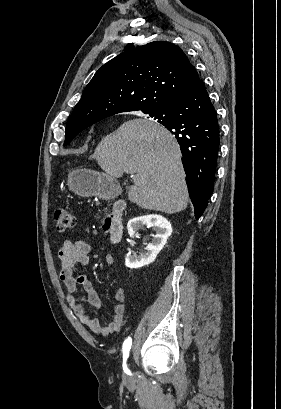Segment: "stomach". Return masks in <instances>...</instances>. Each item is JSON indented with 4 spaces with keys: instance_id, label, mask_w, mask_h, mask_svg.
<instances>
[{
    "instance_id": "0dacf381",
    "label": "stomach",
    "mask_w": 281,
    "mask_h": 409,
    "mask_svg": "<svg viewBox=\"0 0 281 409\" xmlns=\"http://www.w3.org/2000/svg\"><path fill=\"white\" fill-rule=\"evenodd\" d=\"M68 186L79 196H98L104 200L117 198L121 190L120 182L116 178L90 168L71 170L68 174Z\"/></svg>"
}]
</instances>
